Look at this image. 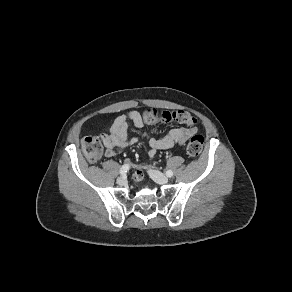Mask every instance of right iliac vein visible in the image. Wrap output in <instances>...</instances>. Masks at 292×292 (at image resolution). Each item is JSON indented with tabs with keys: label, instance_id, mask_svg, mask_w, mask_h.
Here are the masks:
<instances>
[{
	"label": "right iliac vein",
	"instance_id": "obj_1",
	"mask_svg": "<svg viewBox=\"0 0 292 292\" xmlns=\"http://www.w3.org/2000/svg\"><path fill=\"white\" fill-rule=\"evenodd\" d=\"M126 182H127V180H126V177H124V176H120V177L117 179V184H119V185H125Z\"/></svg>",
	"mask_w": 292,
	"mask_h": 292
}]
</instances>
